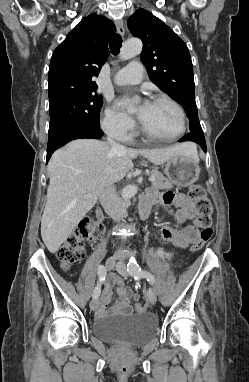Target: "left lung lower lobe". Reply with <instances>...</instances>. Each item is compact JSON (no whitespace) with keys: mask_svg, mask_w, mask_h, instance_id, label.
<instances>
[{"mask_svg":"<svg viewBox=\"0 0 249 382\" xmlns=\"http://www.w3.org/2000/svg\"><path fill=\"white\" fill-rule=\"evenodd\" d=\"M180 142L184 141H193L201 146V148L206 152V142L203 132H190L179 140Z\"/></svg>","mask_w":249,"mask_h":382,"instance_id":"left-lung-lower-lobe-1","label":"left lung lower lobe"}]
</instances>
